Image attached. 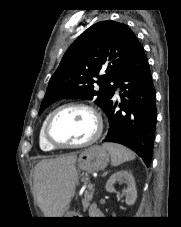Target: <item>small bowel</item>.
<instances>
[{"label":"small bowel","instance_id":"c3829d8e","mask_svg":"<svg viewBox=\"0 0 181 227\" xmlns=\"http://www.w3.org/2000/svg\"><path fill=\"white\" fill-rule=\"evenodd\" d=\"M90 214H91V215H94V216L99 215V211H98V209H97L96 206H92V207L90 208Z\"/></svg>","mask_w":181,"mask_h":227}]
</instances>
